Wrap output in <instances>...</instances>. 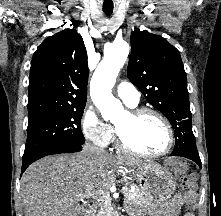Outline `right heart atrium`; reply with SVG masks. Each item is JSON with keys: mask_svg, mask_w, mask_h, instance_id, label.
I'll use <instances>...</instances> for the list:
<instances>
[{"mask_svg": "<svg viewBox=\"0 0 221 216\" xmlns=\"http://www.w3.org/2000/svg\"><path fill=\"white\" fill-rule=\"evenodd\" d=\"M80 127L85 139L98 147H106L113 137V128L101 118L93 106L84 109Z\"/></svg>", "mask_w": 221, "mask_h": 216, "instance_id": "obj_1", "label": "right heart atrium"}]
</instances>
